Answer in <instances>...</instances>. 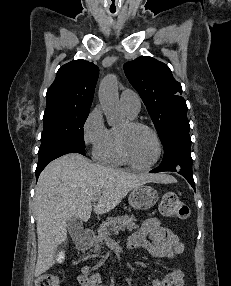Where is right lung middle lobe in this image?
Instances as JSON below:
<instances>
[{
    "mask_svg": "<svg viewBox=\"0 0 231 286\" xmlns=\"http://www.w3.org/2000/svg\"><path fill=\"white\" fill-rule=\"evenodd\" d=\"M89 112L90 108L46 107L39 154L63 144H74L84 148L83 126Z\"/></svg>",
    "mask_w": 231,
    "mask_h": 286,
    "instance_id": "1",
    "label": "right lung middle lobe"
}]
</instances>
